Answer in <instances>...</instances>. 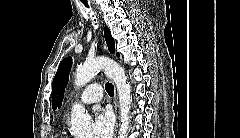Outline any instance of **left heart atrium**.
Returning <instances> with one entry per match:
<instances>
[{
	"instance_id": "left-heart-atrium-1",
	"label": "left heart atrium",
	"mask_w": 240,
	"mask_h": 138,
	"mask_svg": "<svg viewBox=\"0 0 240 138\" xmlns=\"http://www.w3.org/2000/svg\"><path fill=\"white\" fill-rule=\"evenodd\" d=\"M114 129V119L112 114L106 109L97 111L93 126L92 133L94 138H110Z\"/></svg>"
}]
</instances>
